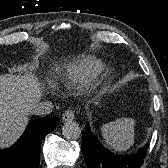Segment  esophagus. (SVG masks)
I'll use <instances>...</instances> for the list:
<instances>
[{
    "instance_id": "obj_1",
    "label": "esophagus",
    "mask_w": 168,
    "mask_h": 168,
    "mask_svg": "<svg viewBox=\"0 0 168 168\" xmlns=\"http://www.w3.org/2000/svg\"><path fill=\"white\" fill-rule=\"evenodd\" d=\"M75 119V113L73 110L68 109L62 115V120L64 122H71Z\"/></svg>"
}]
</instances>
